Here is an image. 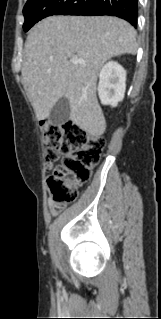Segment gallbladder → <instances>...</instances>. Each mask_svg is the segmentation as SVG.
I'll return each instance as SVG.
<instances>
[{
    "mask_svg": "<svg viewBox=\"0 0 161 319\" xmlns=\"http://www.w3.org/2000/svg\"><path fill=\"white\" fill-rule=\"evenodd\" d=\"M70 117V104L64 96L60 98L52 107L49 114V122L53 125H61L66 123Z\"/></svg>",
    "mask_w": 161,
    "mask_h": 319,
    "instance_id": "obj_1",
    "label": "gallbladder"
}]
</instances>
